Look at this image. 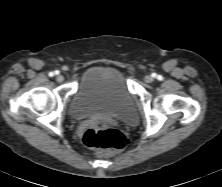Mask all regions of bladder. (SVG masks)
<instances>
[{"instance_id": "bladder-1", "label": "bladder", "mask_w": 222, "mask_h": 187, "mask_svg": "<svg viewBox=\"0 0 222 187\" xmlns=\"http://www.w3.org/2000/svg\"><path fill=\"white\" fill-rule=\"evenodd\" d=\"M74 120L104 115L112 121L137 120L135 101L122 73L113 66L90 69L75 90L69 106Z\"/></svg>"}]
</instances>
